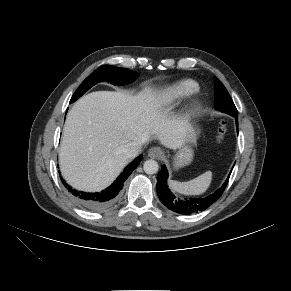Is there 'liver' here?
Instances as JSON below:
<instances>
[{
  "label": "liver",
  "mask_w": 291,
  "mask_h": 291,
  "mask_svg": "<svg viewBox=\"0 0 291 291\" xmlns=\"http://www.w3.org/2000/svg\"><path fill=\"white\" fill-rule=\"evenodd\" d=\"M165 97L144 90L137 95L96 91L69 111L59 152L63 177L79 190L108 186L130 162L123 150L130 142L155 138L170 149L186 141L190 123L170 118Z\"/></svg>",
  "instance_id": "obj_1"
}]
</instances>
